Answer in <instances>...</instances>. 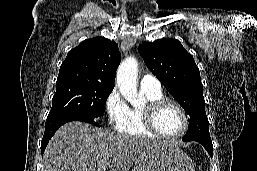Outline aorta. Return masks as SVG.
<instances>
[{
  "instance_id": "1",
  "label": "aorta",
  "mask_w": 257,
  "mask_h": 171,
  "mask_svg": "<svg viewBox=\"0 0 257 171\" xmlns=\"http://www.w3.org/2000/svg\"><path fill=\"white\" fill-rule=\"evenodd\" d=\"M138 63L135 58H126L117 70V85L123 97L132 105L141 103L137 94Z\"/></svg>"
}]
</instances>
